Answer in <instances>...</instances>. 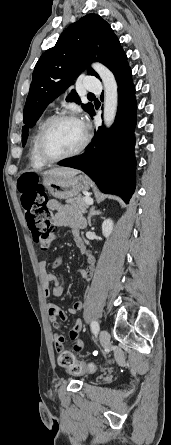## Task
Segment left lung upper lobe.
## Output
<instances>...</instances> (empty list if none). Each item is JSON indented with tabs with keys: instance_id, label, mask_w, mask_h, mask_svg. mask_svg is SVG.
<instances>
[{
	"instance_id": "1",
	"label": "left lung upper lobe",
	"mask_w": 171,
	"mask_h": 445,
	"mask_svg": "<svg viewBox=\"0 0 171 445\" xmlns=\"http://www.w3.org/2000/svg\"><path fill=\"white\" fill-rule=\"evenodd\" d=\"M99 61L114 74L127 62V56L110 25L99 15L88 14L71 24L59 37L55 46L42 54L33 71L29 94L24 107L22 145L31 128L47 105L63 93L92 62ZM88 74L99 77L91 68ZM67 101L81 103L75 90ZM91 114L92 103L81 104Z\"/></svg>"
}]
</instances>
